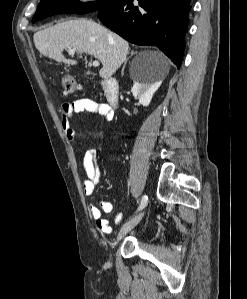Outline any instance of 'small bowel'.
Returning <instances> with one entry per match:
<instances>
[{"label": "small bowel", "mask_w": 247, "mask_h": 299, "mask_svg": "<svg viewBox=\"0 0 247 299\" xmlns=\"http://www.w3.org/2000/svg\"><path fill=\"white\" fill-rule=\"evenodd\" d=\"M88 112L94 115H99L106 120L113 118V112L106 103L96 102L89 98H81L71 102H65L61 107L62 128L70 141L76 138V131L72 127L71 121L75 113ZM97 152L95 149L87 150L83 155V167L87 178L83 182V192L86 196H91L94 193L95 187L101 181V173L96 164ZM90 215L94 219L96 227L103 233H111L112 227L108 219L103 217L104 213H111L113 211V204L110 201H101L98 206L91 205ZM115 223L119 224L123 220V214L117 213L115 215Z\"/></svg>", "instance_id": "c3829d8e"}]
</instances>
